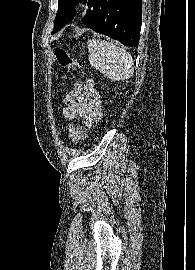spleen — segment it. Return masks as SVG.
Here are the masks:
<instances>
[{
  "instance_id": "1",
  "label": "spleen",
  "mask_w": 195,
  "mask_h": 270,
  "mask_svg": "<svg viewBox=\"0 0 195 270\" xmlns=\"http://www.w3.org/2000/svg\"><path fill=\"white\" fill-rule=\"evenodd\" d=\"M89 62L112 81H123L132 77L134 61L131 54L117 43L92 39L87 43Z\"/></svg>"
}]
</instances>
